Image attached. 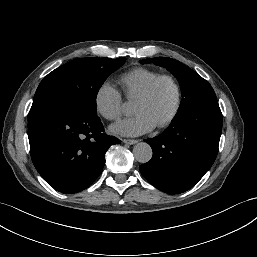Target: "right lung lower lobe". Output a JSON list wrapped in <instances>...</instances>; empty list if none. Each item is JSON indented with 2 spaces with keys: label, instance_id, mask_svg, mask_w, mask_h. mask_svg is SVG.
I'll return each instance as SVG.
<instances>
[{
  "label": "right lung lower lobe",
  "instance_id": "1",
  "mask_svg": "<svg viewBox=\"0 0 257 257\" xmlns=\"http://www.w3.org/2000/svg\"><path fill=\"white\" fill-rule=\"evenodd\" d=\"M28 137L35 168L62 193L87 188L101 174L108 148L121 143L104 133L97 115L67 109H31Z\"/></svg>",
  "mask_w": 257,
  "mask_h": 257
}]
</instances>
